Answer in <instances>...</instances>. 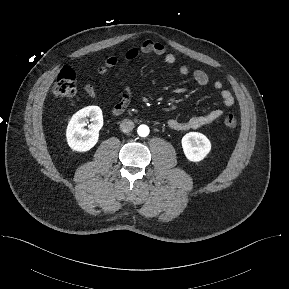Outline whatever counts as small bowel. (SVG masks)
<instances>
[{
  "label": "small bowel",
  "mask_w": 289,
  "mask_h": 289,
  "mask_svg": "<svg viewBox=\"0 0 289 289\" xmlns=\"http://www.w3.org/2000/svg\"><path fill=\"white\" fill-rule=\"evenodd\" d=\"M141 54H153L156 56L163 57L165 63L168 65H172L176 62V57L172 53H168L166 51L165 46L157 41L153 40H145L142 42L140 46H133L128 48L125 53L124 57L127 60H135ZM118 63V57L115 55L108 56L103 64H101L98 69L97 73L99 75L106 74L111 68L116 66ZM179 73L183 76L191 75L194 82L200 87H206L210 84V78L208 74L203 71L202 69H193L191 70L187 65H180ZM212 87L219 91L222 103L226 107H231L234 104V97L232 93L223 88V84L219 80H215L211 82ZM86 93L92 98L97 99L98 94L93 84L88 83L85 85ZM186 91L185 86H180L175 89V93L181 94ZM130 102V92L129 90H125L120 94L119 100L115 103L112 107V112L116 115L122 113ZM224 114L222 109H215L209 112L206 115L202 116H193L185 121H179L177 119H170L168 121V125L170 128L174 130H189V129H199L202 127H206L219 118H221Z\"/></svg>",
  "instance_id": "1"
}]
</instances>
